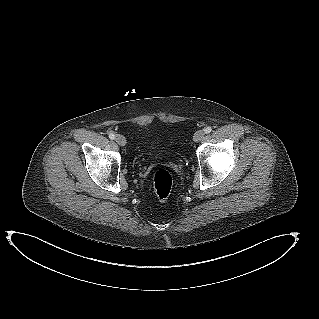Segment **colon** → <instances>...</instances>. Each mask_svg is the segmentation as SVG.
I'll use <instances>...</instances> for the list:
<instances>
[{
  "instance_id": "colon-1",
  "label": "colon",
  "mask_w": 319,
  "mask_h": 319,
  "mask_svg": "<svg viewBox=\"0 0 319 319\" xmlns=\"http://www.w3.org/2000/svg\"><path fill=\"white\" fill-rule=\"evenodd\" d=\"M153 187L159 200H166L170 196L173 187V176L165 168L157 169L153 174Z\"/></svg>"
}]
</instances>
